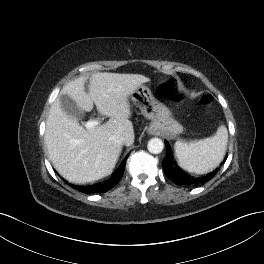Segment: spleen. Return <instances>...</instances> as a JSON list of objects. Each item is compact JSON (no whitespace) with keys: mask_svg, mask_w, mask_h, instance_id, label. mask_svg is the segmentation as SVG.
Listing matches in <instances>:
<instances>
[{"mask_svg":"<svg viewBox=\"0 0 264 264\" xmlns=\"http://www.w3.org/2000/svg\"><path fill=\"white\" fill-rule=\"evenodd\" d=\"M228 143L227 128L219 126L214 136L199 141L175 142L174 149L180 166L194 173H207L223 160Z\"/></svg>","mask_w":264,"mask_h":264,"instance_id":"3e777b00","label":"spleen"}]
</instances>
